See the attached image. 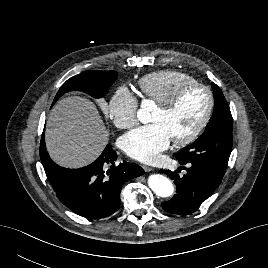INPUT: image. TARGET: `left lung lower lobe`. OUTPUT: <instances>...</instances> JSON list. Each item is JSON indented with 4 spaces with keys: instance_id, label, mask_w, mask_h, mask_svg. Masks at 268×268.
Returning <instances> with one entry per match:
<instances>
[{
    "instance_id": "left-lung-lower-lobe-1",
    "label": "left lung lower lobe",
    "mask_w": 268,
    "mask_h": 268,
    "mask_svg": "<svg viewBox=\"0 0 268 268\" xmlns=\"http://www.w3.org/2000/svg\"><path fill=\"white\" fill-rule=\"evenodd\" d=\"M188 165L189 168L184 167L187 174L183 177H179L176 172L162 170L174 180L177 188V194L171 200L162 202V207L167 212L179 215L195 212L219 186L224 175L208 165L197 163Z\"/></svg>"
}]
</instances>
